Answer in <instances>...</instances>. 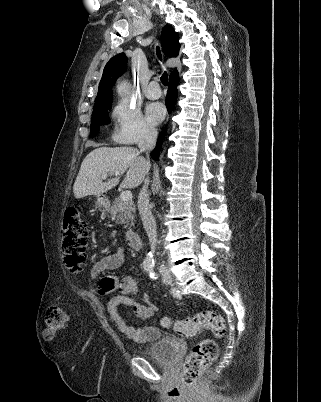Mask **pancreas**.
<instances>
[{
    "instance_id": "1",
    "label": "pancreas",
    "mask_w": 321,
    "mask_h": 402,
    "mask_svg": "<svg viewBox=\"0 0 321 402\" xmlns=\"http://www.w3.org/2000/svg\"><path fill=\"white\" fill-rule=\"evenodd\" d=\"M109 212L111 218L116 219L118 224H124L129 228L134 225L136 208L132 200L123 201L121 197L116 198Z\"/></svg>"
}]
</instances>
